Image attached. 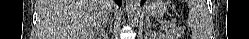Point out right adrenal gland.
<instances>
[{"mask_svg": "<svg viewBox=\"0 0 249 39\" xmlns=\"http://www.w3.org/2000/svg\"><path fill=\"white\" fill-rule=\"evenodd\" d=\"M106 24H107V21H105V22L103 23V28L101 29V33H102V34H104V33H105V31H104V27H106Z\"/></svg>", "mask_w": 249, "mask_h": 39, "instance_id": "1", "label": "right adrenal gland"}]
</instances>
